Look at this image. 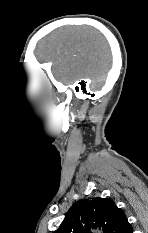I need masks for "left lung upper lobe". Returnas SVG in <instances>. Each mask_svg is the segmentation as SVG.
I'll list each match as a JSON object with an SVG mask.
<instances>
[{"label": "left lung upper lobe", "instance_id": "5c2ea615", "mask_svg": "<svg viewBox=\"0 0 148 233\" xmlns=\"http://www.w3.org/2000/svg\"><path fill=\"white\" fill-rule=\"evenodd\" d=\"M97 227L105 233H126L131 225L111 199L97 197L74 203L53 233H89Z\"/></svg>", "mask_w": 148, "mask_h": 233}]
</instances>
